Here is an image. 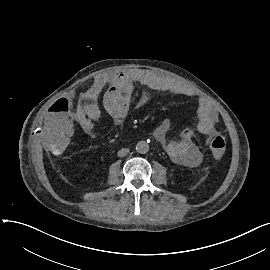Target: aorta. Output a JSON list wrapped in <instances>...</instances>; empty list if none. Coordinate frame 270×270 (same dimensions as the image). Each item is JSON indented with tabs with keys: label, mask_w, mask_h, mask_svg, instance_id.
I'll list each match as a JSON object with an SVG mask.
<instances>
[{
	"label": "aorta",
	"mask_w": 270,
	"mask_h": 270,
	"mask_svg": "<svg viewBox=\"0 0 270 270\" xmlns=\"http://www.w3.org/2000/svg\"><path fill=\"white\" fill-rule=\"evenodd\" d=\"M136 151L140 154H145L149 151V145L145 141H139L136 144Z\"/></svg>",
	"instance_id": "1"
}]
</instances>
